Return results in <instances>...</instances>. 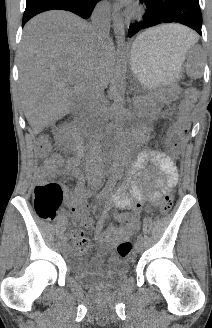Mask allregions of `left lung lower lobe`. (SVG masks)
Wrapping results in <instances>:
<instances>
[{"label":"left lung lower lobe","mask_w":212,"mask_h":328,"mask_svg":"<svg viewBox=\"0 0 212 328\" xmlns=\"http://www.w3.org/2000/svg\"><path fill=\"white\" fill-rule=\"evenodd\" d=\"M146 5L143 20L130 25L128 36L137 32L161 24L177 22L184 24L200 35L202 15L199 0H140Z\"/></svg>","instance_id":"0a47b994"}]
</instances>
